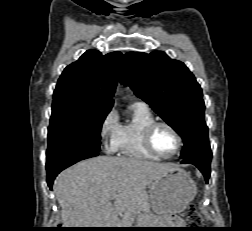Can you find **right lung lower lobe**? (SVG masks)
I'll return each mask as SVG.
<instances>
[{
  "instance_id": "obj_1",
  "label": "right lung lower lobe",
  "mask_w": 252,
  "mask_h": 231,
  "mask_svg": "<svg viewBox=\"0 0 252 231\" xmlns=\"http://www.w3.org/2000/svg\"><path fill=\"white\" fill-rule=\"evenodd\" d=\"M99 153L95 150H80V151H70L54 156L47 159L46 169H47V183L49 188H52L53 181L55 177L63 169L73 165L74 163L87 159L90 157H95Z\"/></svg>"
}]
</instances>
